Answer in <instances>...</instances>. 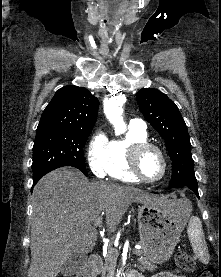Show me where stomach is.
Returning a JSON list of instances; mask_svg holds the SVG:
<instances>
[{
	"mask_svg": "<svg viewBox=\"0 0 221 277\" xmlns=\"http://www.w3.org/2000/svg\"><path fill=\"white\" fill-rule=\"evenodd\" d=\"M191 206L187 202L166 200V206H138L140 244L152 263L166 262L174 252L188 221Z\"/></svg>",
	"mask_w": 221,
	"mask_h": 277,
	"instance_id": "stomach-1",
	"label": "stomach"
}]
</instances>
